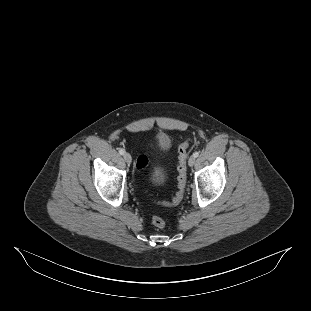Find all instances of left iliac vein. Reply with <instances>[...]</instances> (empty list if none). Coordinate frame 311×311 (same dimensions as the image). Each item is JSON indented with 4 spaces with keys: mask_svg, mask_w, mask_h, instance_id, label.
<instances>
[{
    "mask_svg": "<svg viewBox=\"0 0 311 311\" xmlns=\"http://www.w3.org/2000/svg\"><path fill=\"white\" fill-rule=\"evenodd\" d=\"M195 162H196V157L191 156V157L189 158V160H188V165H189V166H193V165L195 164Z\"/></svg>",
    "mask_w": 311,
    "mask_h": 311,
    "instance_id": "1",
    "label": "left iliac vein"
}]
</instances>
